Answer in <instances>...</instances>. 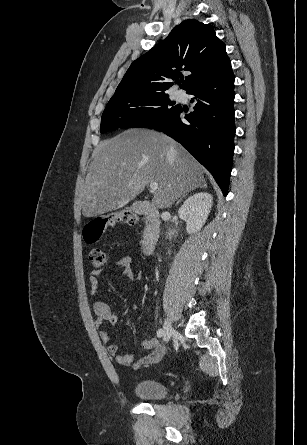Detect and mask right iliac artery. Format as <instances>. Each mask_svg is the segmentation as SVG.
<instances>
[{
  "instance_id": "1",
  "label": "right iliac artery",
  "mask_w": 307,
  "mask_h": 445,
  "mask_svg": "<svg viewBox=\"0 0 307 445\" xmlns=\"http://www.w3.org/2000/svg\"><path fill=\"white\" fill-rule=\"evenodd\" d=\"M157 336H158V337H162V336H163V330H162V329H159V330L157 331Z\"/></svg>"
}]
</instances>
